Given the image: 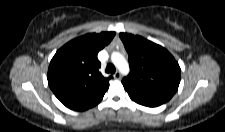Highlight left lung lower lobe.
Wrapping results in <instances>:
<instances>
[{
  "mask_svg": "<svg viewBox=\"0 0 225 132\" xmlns=\"http://www.w3.org/2000/svg\"><path fill=\"white\" fill-rule=\"evenodd\" d=\"M138 104H141V105L147 106V107H157V106H159V105H156V104H146V103H138Z\"/></svg>",
  "mask_w": 225,
  "mask_h": 132,
  "instance_id": "1",
  "label": "left lung lower lobe"
}]
</instances>
